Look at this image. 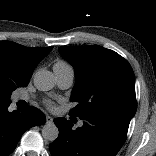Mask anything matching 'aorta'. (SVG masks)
<instances>
[{"instance_id":"762f6f07","label":"aorta","mask_w":156,"mask_h":156,"mask_svg":"<svg viewBox=\"0 0 156 156\" xmlns=\"http://www.w3.org/2000/svg\"><path fill=\"white\" fill-rule=\"evenodd\" d=\"M34 86L39 91H49L54 87L53 74L49 71L42 70L34 74L33 77ZM59 135L57 126L52 123H46L42 128V136L47 141H55Z\"/></svg>"}]
</instances>
